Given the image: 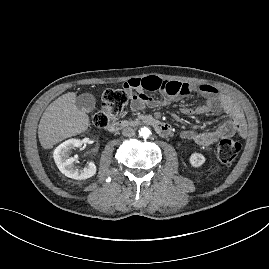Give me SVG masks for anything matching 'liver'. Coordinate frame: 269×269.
<instances>
[{
    "label": "liver",
    "mask_w": 269,
    "mask_h": 269,
    "mask_svg": "<svg viewBox=\"0 0 269 269\" xmlns=\"http://www.w3.org/2000/svg\"><path fill=\"white\" fill-rule=\"evenodd\" d=\"M88 115L76 106V94L68 92L54 100L43 113L38 137L44 149L88 129Z\"/></svg>",
    "instance_id": "liver-1"
}]
</instances>
